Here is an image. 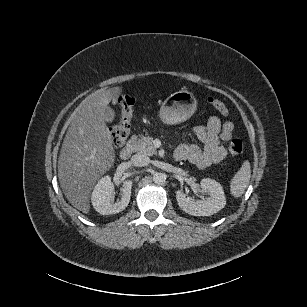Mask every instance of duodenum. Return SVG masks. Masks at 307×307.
Here are the masks:
<instances>
[{"mask_svg":"<svg viewBox=\"0 0 307 307\" xmlns=\"http://www.w3.org/2000/svg\"><path fill=\"white\" fill-rule=\"evenodd\" d=\"M134 142L129 141L119 152V157L121 160H127L132 154Z\"/></svg>","mask_w":307,"mask_h":307,"instance_id":"duodenum-1","label":"duodenum"}]
</instances>
